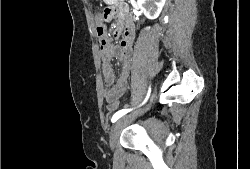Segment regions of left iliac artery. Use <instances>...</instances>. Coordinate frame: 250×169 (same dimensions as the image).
Wrapping results in <instances>:
<instances>
[{
    "mask_svg": "<svg viewBox=\"0 0 250 169\" xmlns=\"http://www.w3.org/2000/svg\"><path fill=\"white\" fill-rule=\"evenodd\" d=\"M150 93H151V88H149L148 93H147V96H146V98H145V100L143 101L142 104H144V103L148 100V98H149V96H150ZM131 110H132V109H122V110H119L118 112H116V113L113 115L111 121H112L113 123L116 122L120 117H122V116L125 115L126 113L130 112Z\"/></svg>",
    "mask_w": 250,
    "mask_h": 169,
    "instance_id": "left-iliac-artery-1",
    "label": "left iliac artery"
}]
</instances>
